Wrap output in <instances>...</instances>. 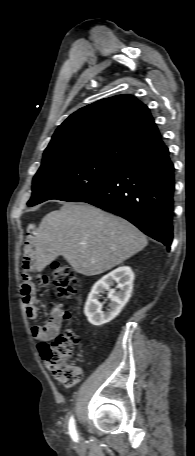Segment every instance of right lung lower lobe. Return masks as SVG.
Here are the masks:
<instances>
[{"instance_id": "right-lung-lower-lobe-1", "label": "right lung lower lobe", "mask_w": 195, "mask_h": 456, "mask_svg": "<svg viewBox=\"0 0 195 456\" xmlns=\"http://www.w3.org/2000/svg\"><path fill=\"white\" fill-rule=\"evenodd\" d=\"M174 166L165 146L124 163L109 180L73 202L121 216L167 249L173 239Z\"/></svg>"}]
</instances>
